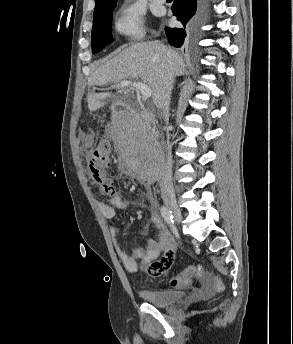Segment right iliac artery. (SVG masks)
<instances>
[{"mask_svg": "<svg viewBox=\"0 0 293 344\" xmlns=\"http://www.w3.org/2000/svg\"><path fill=\"white\" fill-rule=\"evenodd\" d=\"M160 212H161V215H162L163 219L167 223H172L173 222V214H172L171 210H169L165 206H162Z\"/></svg>", "mask_w": 293, "mask_h": 344, "instance_id": "obj_1", "label": "right iliac artery"}]
</instances>
